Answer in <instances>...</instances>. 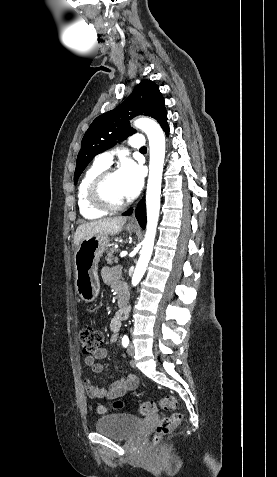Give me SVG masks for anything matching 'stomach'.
<instances>
[{"label": "stomach", "mask_w": 277, "mask_h": 477, "mask_svg": "<svg viewBox=\"0 0 277 477\" xmlns=\"http://www.w3.org/2000/svg\"><path fill=\"white\" fill-rule=\"evenodd\" d=\"M126 230L133 233L136 226L127 225ZM108 235L95 234L83 239L76 247L74 254L75 290L79 298L88 303L96 299L100 285L97 276V265L100 257L108 248Z\"/></svg>", "instance_id": "stomach-1"}]
</instances>
